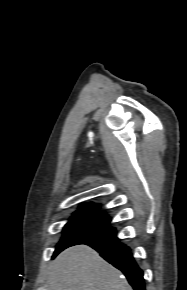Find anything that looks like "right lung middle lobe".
<instances>
[{
    "label": "right lung middle lobe",
    "instance_id": "obj_1",
    "mask_svg": "<svg viewBox=\"0 0 187 290\" xmlns=\"http://www.w3.org/2000/svg\"><path fill=\"white\" fill-rule=\"evenodd\" d=\"M110 221L111 219L102 211L94 209L76 211L65 225L63 237L53 256L67 247L114 235L116 231L115 228L109 226Z\"/></svg>",
    "mask_w": 187,
    "mask_h": 290
}]
</instances>
